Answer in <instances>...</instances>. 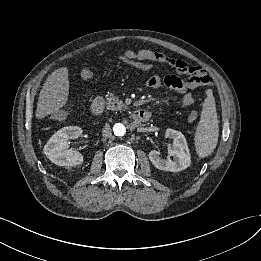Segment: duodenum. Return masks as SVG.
Instances as JSON below:
<instances>
[{
  "label": "duodenum",
  "mask_w": 261,
  "mask_h": 261,
  "mask_svg": "<svg viewBox=\"0 0 261 261\" xmlns=\"http://www.w3.org/2000/svg\"><path fill=\"white\" fill-rule=\"evenodd\" d=\"M103 106L104 103L102 98H96L91 104L92 114L96 116L101 114L103 110ZM149 118H150V112L146 109H138L132 113V119L137 126L145 123L146 121H148Z\"/></svg>",
  "instance_id": "1"
}]
</instances>
